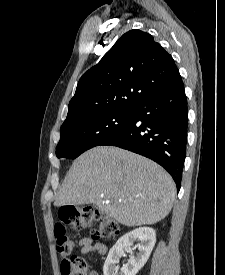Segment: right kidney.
Returning a JSON list of instances; mask_svg holds the SVG:
<instances>
[{"label":"right kidney","mask_w":225,"mask_h":275,"mask_svg":"<svg viewBox=\"0 0 225 275\" xmlns=\"http://www.w3.org/2000/svg\"><path fill=\"white\" fill-rule=\"evenodd\" d=\"M136 240L141 243L135 245L138 248L136 256L131 255L128 262L119 268V258L123 249L133 246ZM156 242V233L153 228L140 227L123 235L110 249L103 267L104 275H136L146 264Z\"/></svg>","instance_id":"obj_1"}]
</instances>
